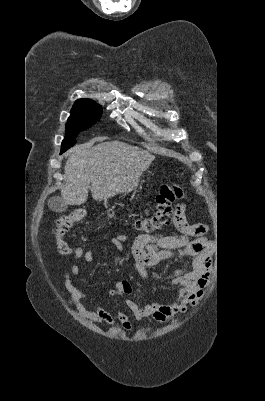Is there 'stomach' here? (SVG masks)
Wrapping results in <instances>:
<instances>
[{
  "instance_id": "stomach-1",
  "label": "stomach",
  "mask_w": 265,
  "mask_h": 401,
  "mask_svg": "<svg viewBox=\"0 0 265 401\" xmlns=\"http://www.w3.org/2000/svg\"><path fill=\"white\" fill-rule=\"evenodd\" d=\"M139 184V178H136V180H133L132 184L128 186V188H125L124 194H128V192H131V190H135Z\"/></svg>"
}]
</instances>
